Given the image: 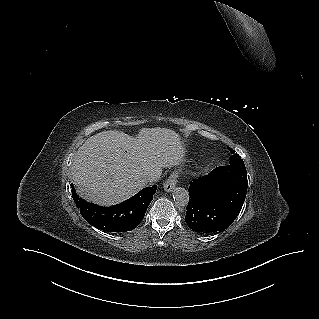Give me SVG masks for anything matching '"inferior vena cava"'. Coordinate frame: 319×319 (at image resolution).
Listing matches in <instances>:
<instances>
[{
  "instance_id": "1",
  "label": "inferior vena cava",
  "mask_w": 319,
  "mask_h": 319,
  "mask_svg": "<svg viewBox=\"0 0 319 319\" xmlns=\"http://www.w3.org/2000/svg\"><path fill=\"white\" fill-rule=\"evenodd\" d=\"M158 179L156 174H148L145 178L146 182H154Z\"/></svg>"
}]
</instances>
